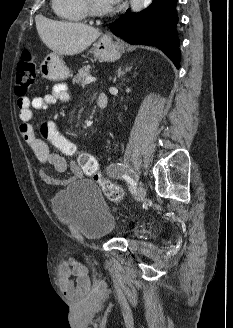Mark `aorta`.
Here are the masks:
<instances>
[{"label": "aorta", "mask_w": 233, "mask_h": 328, "mask_svg": "<svg viewBox=\"0 0 233 328\" xmlns=\"http://www.w3.org/2000/svg\"><path fill=\"white\" fill-rule=\"evenodd\" d=\"M152 0H130L131 11L139 12L143 7H147Z\"/></svg>", "instance_id": "obj_1"}]
</instances>
